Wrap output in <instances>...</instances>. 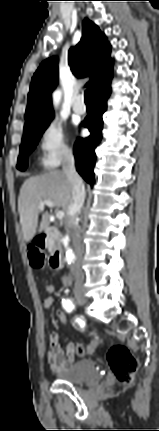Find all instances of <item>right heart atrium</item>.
<instances>
[{"mask_svg":"<svg viewBox=\"0 0 159 431\" xmlns=\"http://www.w3.org/2000/svg\"><path fill=\"white\" fill-rule=\"evenodd\" d=\"M39 161L45 169H53L72 154L63 125L56 119L49 120L38 138Z\"/></svg>","mask_w":159,"mask_h":431,"instance_id":"1","label":"right heart atrium"}]
</instances>
